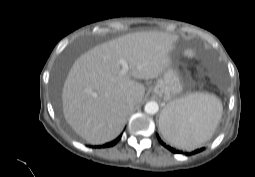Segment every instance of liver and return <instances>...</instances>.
Here are the masks:
<instances>
[{
	"label": "liver",
	"mask_w": 255,
	"mask_h": 177,
	"mask_svg": "<svg viewBox=\"0 0 255 177\" xmlns=\"http://www.w3.org/2000/svg\"><path fill=\"white\" fill-rule=\"evenodd\" d=\"M178 37L163 32H136L97 45L73 64L62 91L67 123L90 144L115 139L123 130L130 110L145 94L135 79H154L171 64L170 52ZM128 64L121 74L120 60ZM134 99V106L127 105ZM167 121V114L160 116Z\"/></svg>",
	"instance_id": "1"
}]
</instances>
